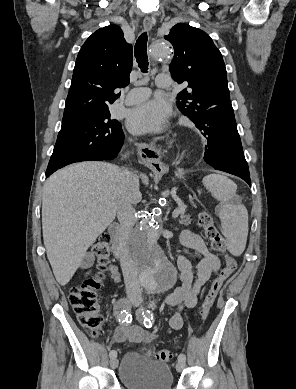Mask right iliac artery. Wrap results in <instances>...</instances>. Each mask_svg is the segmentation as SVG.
Returning a JSON list of instances; mask_svg holds the SVG:
<instances>
[{
    "label": "right iliac artery",
    "mask_w": 296,
    "mask_h": 389,
    "mask_svg": "<svg viewBox=\"0 0 296 389\" xmlns=\"http://www.w3.org/2000/svg\"><path fill=\"white\" fill-rule=\"evenodd\" d=\"M129 301H127L126 299H121L117 306H116V315H117V318H118V321L121 322V323H124L125 322V314H124V309L125 308H129ZM110 357H116L117 356V352L115 350H112L110 351Z\"/></svg>",
    "instance_id": "82829eb1"
}]
</instances>
